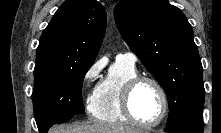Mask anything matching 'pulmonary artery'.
<instances>
[{
	"instance_id": "obj_1",
	"label": "pulmonary artery",
	"mask_w": 221,
	"mask_h": 133,
	"mask_svg": "<svg viewBox=\"0 0 221 133\" xmlns=\"http://www.w3.org/2000/svg\"><path fill=\"white\" fill-rule=\"evenodd\" d=\"M116 60L122 61V62H125V63L129 64V65L134 66L137 58L133 53L127 52V53L118 54L116 56Z\"/></svg>"
}]
</instances>
